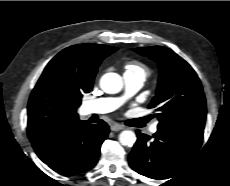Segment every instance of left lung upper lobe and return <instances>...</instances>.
<instances>
[{
	"label": "left lung upper lobe",
	"mask_w": 230,
	"mask_h": 186,
	"mask_svg": "<svg viewBox=\"0 0 230 186\" xmlns=\"http://www.w3.org/2000/svg\"><path fill=\"white\" fill-rule=\"evenodd\" d=\"M159 65L156 96L149 108H156L158 127L203 130L206 101L201 82L192 67L172 50L162 46L135 48Z\"/></svg>",
	"instance_id": "1"
}]
</instances>
